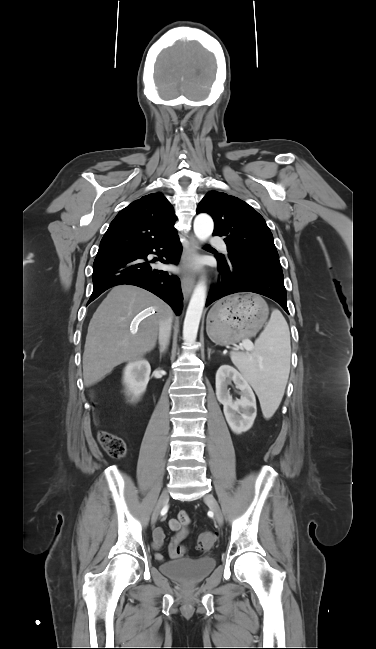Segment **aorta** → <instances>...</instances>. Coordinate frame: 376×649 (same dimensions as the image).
<instances>
[{
	"mask_svg": "<svg viewBox=\"0 0 376 649\" xmlns=\"http://www.w3.org/2000/svg\"><path fill=\"white\" fill-rule=\"evenodd\" d=\"M213 229L214 223L208 214H198L194 219V233L200 241H206L211 236ZM206 290L205 282L200 281L193 291L186 311L183 324V340L188 345L194 344L197 338L198 328L205 306Z\"/></svg>",
	"mask_w": 376,
	"mask_h": 649,
	"instance_id": "obj_1",
	"label": "aorta"
}]
</instances>
